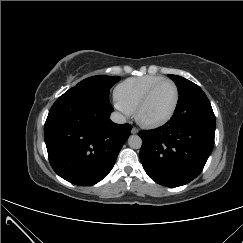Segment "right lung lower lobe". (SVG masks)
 Wrapping results in <instances>:
<instances>
[{"label": "right lung lower lobe", "mask_w": 243, "mask_h": 243, "mask_svg": "<svg viewBox=\"0 0 243 243\" xmlns=\"http://www.w3.org/2000/svg\"><path fill=\"white\" fill-rule=\"evenodd\" d=\"M109 99L68 90L51 107L44 134L53 170L66 181L90 186L105 178L130 135V124L110 120Z\"/></svg>", "instance_id": "98d812e1"}]
</instances>
